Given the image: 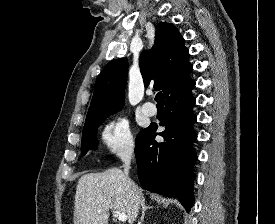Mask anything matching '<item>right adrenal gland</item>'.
<instances>
[{
  "mask_svg": "<svg viewBox=\"0 0 275 224\" xmlns=\"http://www.w3.org/2000/svg\"><path fill=\"white\" fill-rule=\"evenodd\" d=\"M141 207H142V215H141V218H140V222H139L138 224H142V223H143L145 212H146L148 209H152V208H153L152 206H146L145 203H142V204H141Z\"/></svg>",
  "mask_w": 275,
  "mask_h": 224,
  "instance_id": "2a0ac1e0",
  "label": "right adrenal gland"
}]
</instances>
